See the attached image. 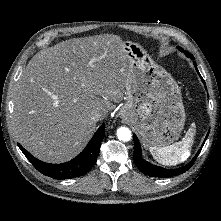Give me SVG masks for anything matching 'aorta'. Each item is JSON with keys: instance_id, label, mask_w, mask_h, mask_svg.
<instances>
[{"instance_id": "obj_1", "label": "aorta", "mask_w": 221, "mask_h": 221, "mask_svg": "<svg viewBox=\"0 0 221 221\" xmlns=\"http://www.w3.org/2000/svg\"><path fill=\"white\" fill-rule=\"evenodd\" d=\"M117 137L120 141L127 142L131 140L132 134L129 128L120 127L117 129Z\"/></svg>"}]
</instances>
